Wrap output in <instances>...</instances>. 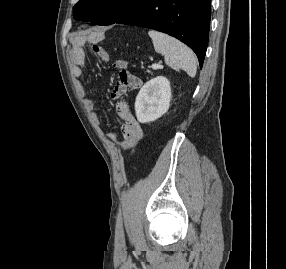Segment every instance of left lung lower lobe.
<instances>
[{
    "mask_svg": "<svg viewBox=\"0 0 286 269\" xmlns=\"http://www.w3.org/2000/svg\"><path fill=\"white\" fill-rule=\"evenodd\" d=\"M211 0H144L115 23L151 28L188 45L202 67L209 36Z\"/></svg>",
    "mask_w": 286,
    "mask_h": 269,
    "instance_id": "left-lung-lower-lobe-1",
    "label": "left lung lower lobe"
}]
</instances>
